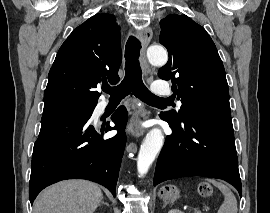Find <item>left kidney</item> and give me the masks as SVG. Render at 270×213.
Masks as SVG:
<instances>
[{
    "label": "left kidney",
    "mask_w": 270,
    "mask_h": 213,
    "mask_svg": "<svg viewBox=\"0 0 270 213\" xmlns=\"http://www.w3.org/2000/svg\"><path fill=\"white\" fill-rule=\"evenodd\" d=\"M168 213H184V212L177 210V209H172Z\"/></svg>",
    "instance_id": "1"
}]
</instances>
